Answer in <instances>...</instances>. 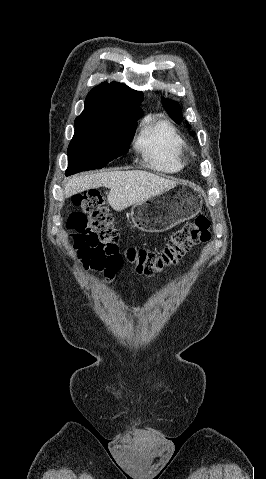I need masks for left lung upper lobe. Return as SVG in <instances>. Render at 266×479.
<instances>
[{"instance_id": "5c2ea615", "label": "left lung upper lobe", "mask_w": 266, "mask_h": 479, "mask_svg": "<svg viewBox=\"0 0 266 479\" xmlns=\"http://www.w3.org/2000/svg\"><path fill=\"white\" fill-rule=\"evenodd\" d=\"M163 105L167 111V113L170 115V117L176 122V123H181L182 121V114L179 105L174 102V101H169L167 99L162 100ZM190 128V127H189ZM191 135H194L193 132H191Z\"/></svg>"}]
</instances>
